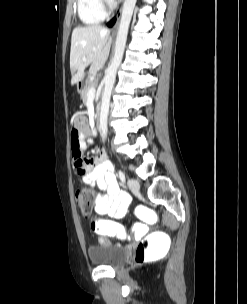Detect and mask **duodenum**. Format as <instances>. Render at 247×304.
<instances>
[{
	"label": "duodenum",
	"instance_id": "410a0bca",
	"mask_svg": "<svg viewBox=\"0 0 247 304\" xmlns=\"http://www.w3.org/2000/svg\"><path fill=\"white\" fill-rule=\"evenodd\" d=\"M85 82H88V79H82V81H79L78 82V85L79 86H84L85 85ZM95 121L96 123H99L100 122V111H97L95 113ZM98 130L101 128L99 125L96 127Z\"/></svg>",
	"mask_w": 247,
	"mask_h": 304
}]
</instances>
